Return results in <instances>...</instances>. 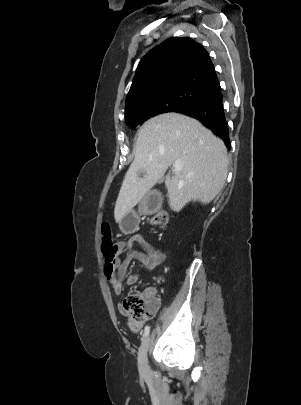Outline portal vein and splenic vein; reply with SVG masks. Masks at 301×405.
Returning <instances> with one entry per match:
<instances>
[{
  "label": "portal vein and splenic vein",
  "instance_id": "1",
  "mask_svg": "<svg viewBox=\"0 0 301 405\" xmlns=\"http://www.w3.org/2000/svg\"><path fill=\"white\" fill-rule=\"evenodd\" d=\"M180 165H181L180 161H175L173 164L174 167H179Z\"/></svg>",
  "mask_w": 301,
  "mask_h": 405
}]
</instances>
